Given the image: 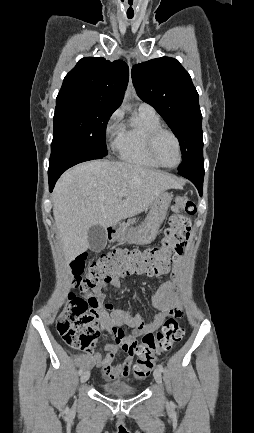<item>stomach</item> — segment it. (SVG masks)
<instances>
[{
	"mask_svg": "<svg viewBox=\"0 0 254 433\" xmlns=\"http://www.w3.org/2000/svg\"><path fill=\"white\" fill-rule=\"evenodd\" d=\"M172 198V194L166 191L162 192L152 203L150 211L141 225L127 231L115 229L110 235L111 241H124L130 244H148L152 242L166 217Z\"/></svg>",
	"mask_w": 254,
	"mask_h": 433,
	"instance_id": "obj_1",
	"label": "stomach"
}]
</instances>
